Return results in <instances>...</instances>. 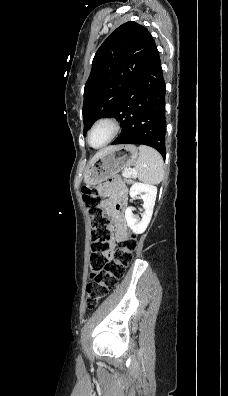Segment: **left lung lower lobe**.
Returning a JSON list of instances; mask_svg holds the SVG:
<instances>
[{
  "instance_id": "0a47b994",
  "label": "left lung lower lobe",
  "mask_w": 228,
  "mask_h": 396,
  "mask_svg": "<svg viewBox=\"0 0 228 396\" xmlns=\"http://www.w3.org/2000/svg\"><path fill=\"white\" fill-rule=\"evenodd\" d=\"M165 81L157 47L129 88L114 117L122 126L112 144H144L158 150L165 159Z\"/></svg>"
}]
</instances>
